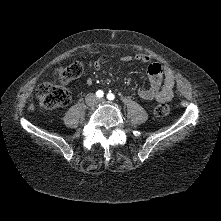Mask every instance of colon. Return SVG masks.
<instances>
[{"label":"colon","mask_w":221,"mask_h":221,"mask_svg":"<svg viewBox=\"0 0 221 221\" xmlns=\"http://www.w3.org/2000/svg\"><path fill=\"white\" fill-rule=\"evenodd\" d=\"M84 71V66L79 61L61 67L56 71L55 82H45L41 84L36 96L41 108L46 110L62 107L69 103L71 93L66 87L71 81L79 78ZM170 108L165 103H160L155 107L154 113L157 117H165L168 115Z\"/></svg>","instance_id":"1"}]
</instances>
